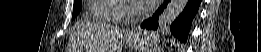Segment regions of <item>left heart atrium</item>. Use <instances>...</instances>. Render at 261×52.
<instances>
[{
    "instance_id": "1",
    "label": "left heart atrium",
    "mask_w": 261,
    "mask_h": 52,
    "mask_svg": "<svg viewBox=\"0 0 261 52\" xmlns=\"http://www.w3.org/2000/svg\"><path fill=\"white\" fill-rule=\"evenodd\" d=\"M136 8L140 10H148L158 4V0H134Z\"/></svg>"
}]
</instances>
